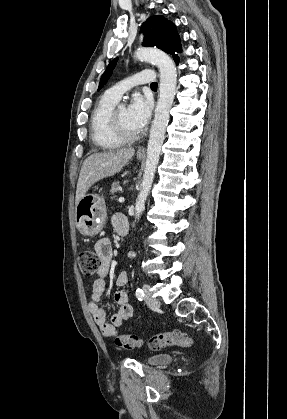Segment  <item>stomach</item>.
I'll list each match as a JSON object with an SVG mask.
<instances>
[{
    "instance_id": "0dacf381",
    "label": "stomach",
    "mask_w": 287,
    "mask_h": 419,
    "mask_svg": "<svg viewBox=\"0 0 287 419\" xmlns=\"http://www.w3.org/2000/svg\"><path fill=\"white\" fill-rule=\"evenodd\" d=\"M138 159H141L138 156ZM106 206L97 194H86L75 207V223L85 236L97 235L105 225Z\"/></svg>"
}]
</instances>
